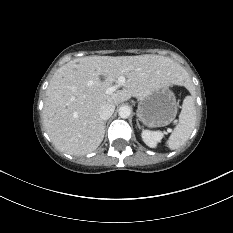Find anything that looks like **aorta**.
I'll return each mask as SVG.
<instances>
[{"mask_svg": "<svg viewBox=\"0 0 233 233\" xmlns=\"http://www.w3.org/2000/svg\"><path fill=\"white\" fill-rule=\"evenodd\" d=\"M118 114L121 118L123 119H126L130 116L131 114V109L130 107L124 105V106H121L118 110Z\"/></svg>", "mask_w": 233, "mask_h": 233, "instance_id": "762f6f07", "label": "aorta"}]
</instances>
